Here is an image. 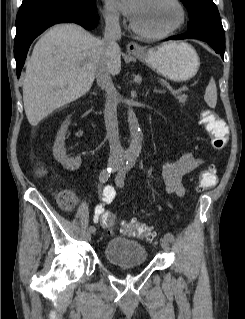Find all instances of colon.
<instances>
[{"instance_id": "colon-1", "label": "colon", "mask_w": 245, "mask_h": 319, "mask_svg": "<svg viewBox=\"0 0 245 319\" xmlns=\"http://www.w3.org/2000/svg\"><path fill=\"white\" fill-rule=\"evenodd\" d=\"M202 123L210 137L213 149L223 150L228 142V130L225 123L211 109H204L201 113ZM217 183V172L214 166L208 167L199 176V190H204L215 186ZM59 204L64 210H71L76 204V197L70 190H61L58 194ZM102 226L112 232L116 229L118 220L111 213L102 216ZM121 231L131 237L143 238L153 241L155 233L144 223L136 221L121 222Z\"/></svg>"}]
</instances>
